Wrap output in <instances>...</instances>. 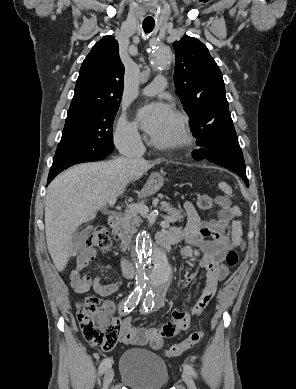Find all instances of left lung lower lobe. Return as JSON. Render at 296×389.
<instances>
[{
  "label": "left lung lower lobe",
  "mask_w": 296,
  "mask_h": 389,
  "mask_svg": "<svg viewBox=\"0 0 296 389\" xmlns=\"http://www.w3.org/2000/svg\"><path fill=\"white\" fill-rule=\"evenodd\" d=\"M199 148L192 152L195 160H208L228 168L239 175L249 186L246 166L230 112L217 116L200 130Z\"/></svg>",
  "instance_id": "left-lung-lower-lobe-1"
}]
</instances>
